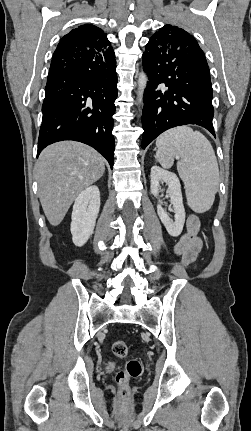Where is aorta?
I'll list each match as a JSON object with an SVG mask.
<instances>
[{"label":"aorta","instance_id":"obj_1","mask_svg":"<svg viewBox=\"0 0 251 431\" xmlns=\"http://www.w3.org/2000/svg\"><path fill=\"white\" fill-rule=\"evenodd\" d=\"M147 82H148L147 74L141 71L138 77V91H137L138 103H141L143 100L144 90L147 86Z\"/></svg>","mask_w":251,"mask_h":431}]
</instances>
